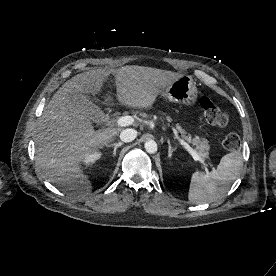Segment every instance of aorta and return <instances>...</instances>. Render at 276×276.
Instances as JSON below:
<instances>
[{"label":"aorta","mask_w":276,"mask_h":276,"mask_svg":"<svg viewBox=\"0 0 276 276\" xmlns=\"http://www.w3.org/2000/svg\"><path fill=\"white\" fill-rule=\"evenodd\" d=\"M157 143L153 140H148L145 142V150L150 153V154H154L157 152Z\"/></svg>","instance_id":"762f6f07"}]
</instances>
